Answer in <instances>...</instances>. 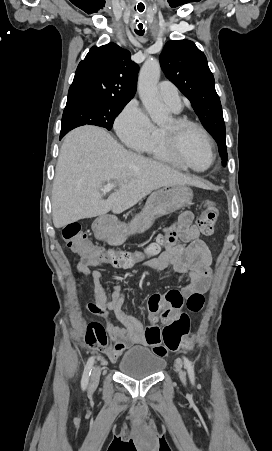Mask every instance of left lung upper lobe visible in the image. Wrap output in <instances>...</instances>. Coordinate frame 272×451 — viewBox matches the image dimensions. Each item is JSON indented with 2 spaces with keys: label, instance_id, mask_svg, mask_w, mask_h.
I'll list each match as a JSON object with an SVG mask.
<instances>
[{
  "label": "left lung upper lobe",
  "instance_id": "5c2ea615",
  "mask_svg": "<svg viewBox=\"0 0 272 451\" xmlns=\"http://www.w3.org/2000/svg\"><path fill=\"white\" fill-rule=\"evenodd\" d=\"M160 64L167 78L191 101L200 121L218 143L225 166L228 155L222 106L204 53L192 41H169L160 55Z\"/></svg>",
  "mask_w": 272,
  "mask_h": 451
}]
</instances>
